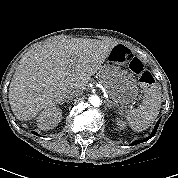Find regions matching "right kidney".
<instances>
[{
  "instance_id": "obj_1",
  "label": "right kidney",
  "mask_w": 178,
  "mask_h": 178,
  "mask_svg": "<svg viewBox=\"0 0 178 178\" xmlns=\"http://www.w3.org/2000/svg\"><path fill=\"white\" fill-rule=\"evenodd\" d=\"M62 118V111L56 107L46 108L37 117V125L41 130L53 129Z\"/></svg>"
}]
</instances>
